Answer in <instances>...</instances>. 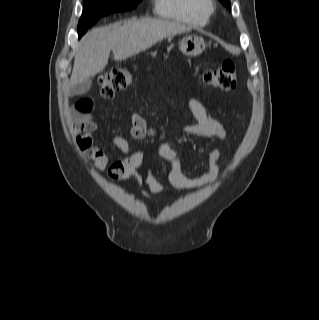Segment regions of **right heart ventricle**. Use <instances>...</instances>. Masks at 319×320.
Wrapping results in <instances>:
<instances>
[{
    "label": "right heart ventricle",
    "instance_id": "obj_1",
    "mask_svg": "<svg viewBox=\"0 0 319 320\" xmlns=\"http://www.w3.org/2000/svg\"><path fill=\"white\" fill-rule=\"evenodd\" d=\"M210 0H154L156 15L189 24L204 26L212 13Z\"/></svg>",
    "mask_w": 319,
    "mask_h": 320
}]
</instances>
